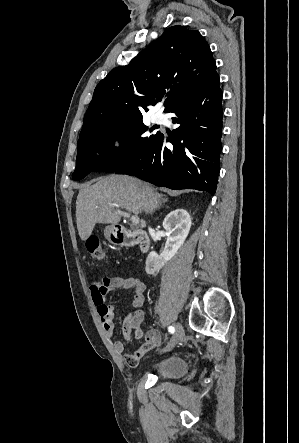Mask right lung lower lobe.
<instances>
[{
  "instance_id": "98d812e1",
  "label": "right lung lower lobe",
  "mask_w": 299,
  "mask_h": 443,
  "mask_svg": "<svg viewBox=\"0 0 299 443\" xmlns=\"http://www.w3.org/2000/svg\"><path fill=\"white\" fill-rule=\"evenodd\" d=\"M216 74L202 88L173 105V135L162 133L135 161L115 171L157 186L196 189L214 195L222 134V91ZM173 147L164 146V141Z\"/></svg>"
}]
</instances>
